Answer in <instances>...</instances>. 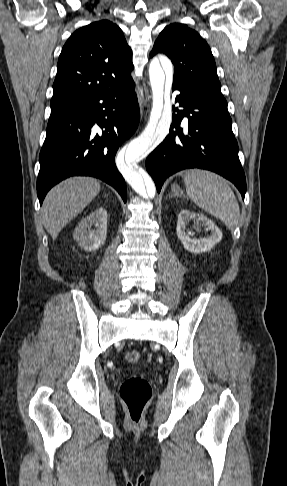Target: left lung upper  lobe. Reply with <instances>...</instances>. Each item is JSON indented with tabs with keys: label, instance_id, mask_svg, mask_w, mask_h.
<instances>
[{
	"label": "left lung upper lobe",
	"instance_id": "left-lung-upper-lobe-1",
	"mask_svg": "<svg viewBox=\"0 0 287 486\" xmlns=\"http://www.w3.org/2000/svg\"><path fill=\"white\" fill-rule=\"evenodd\" d=\"M157 53H164L172 60L173 81L189 84L209 103L228 113L211 49L195 30L180 23L166 26L150 56Z\"/></svg>",
	"mask_w": 287,
	"mask_h": 486
}]
</instances>
